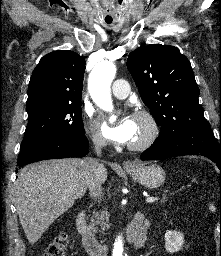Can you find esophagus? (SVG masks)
<instances>
[{
    "mask_svg": "<svg viewBox=\"0 0 221 256\" xmlns=\"http://www.w3.org/2000/svg\"><path fill=\"white\" fill-rule=\"evenodd\" d=\"M124 165H125L126 167H134V166H135V163L132 162V161H126V162L124 163Z\"/></svg>",
    "mask_w": 221,
    "mask_h": 256,
    "instance_id": "34e87169",
    "label": "esophagus"
}]
</instances>
